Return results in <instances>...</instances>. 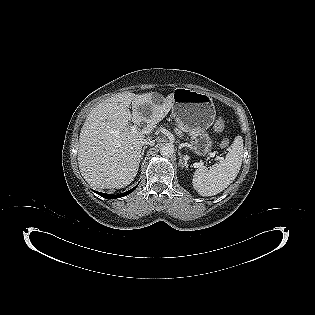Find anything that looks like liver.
Returning a JSON list of instances; mask_svg holds the SVG:
<instances>
[{"label": "liver", "mask_w": 315, "mask_h": 315, "mask_svg": "<svg viewBox=\"0 0 315 315\" xmlns=\"http://www.w3.org/2000/svg\"><path fill=\"white\" fill-rule=\"evenodd\" d=\"M153 94H117L96 105L88 114L79 137L78 163L84 179L95 188L120 189L138 172L142 141L152 133L173 106V94L154 103ZM132 104L131 114L129 107ZM149 105L144 117L139 107ZM146 123L141 131L129 125Z\"/></svg>", "instance_id": "obj_1"}]
</instances>
